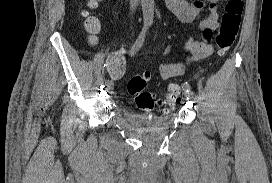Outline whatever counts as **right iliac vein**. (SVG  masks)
Masks as SVG:
<instances>
[{
	"label": "right iliac vein",
	"mask_w": 272,
	"mask_h": 183,
	"mask_svg": "<svg viewBox=\"0 0 272 183\" xmlns=\"http://www.w3.org/2000/svg\"><path fill=\"white\" fill-rule=\"evenodd\" d=\"M105 85H106V90L111 93L113 91V82L112 81L105 82Z\"/></svg>",
	"instance_id": "obj_1"
}]
</instances>
